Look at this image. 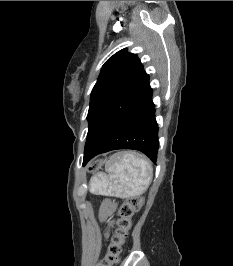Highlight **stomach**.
I'll return each mask as SVG.
<instances>
[{
    "label": "stomach",
    "mask_w": 233,
    "mask_h": 266,
    "mask_svg": "<svg viewBox=\"0 0 233 266\" xmlns=\"http://www.w3.org/2000/svg\"><path fill=\"white\" fill-rule=\"evenodd\" d=\"M111 156H96V161H91V166H107ZM88 172H99V167H88Z\"/></svg>",
    "instance_id": "1"
}]
</instances>
